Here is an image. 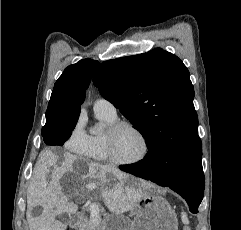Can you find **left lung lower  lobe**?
<instances>
[{"label":"left lung lower lobe","instance_id":"left-lung-lower-lobe-1","mask_svg":"<svg viewBox=\"0 0 241 230\" xmlns=\"http://www.w3.org/2000/svg\"><path fill=\"white\" fill-rule=\"evenodd\" d=\"M170 166L169 156L162 146L156 145L148 149L143 160L132 165H121L119 168L160 186H168L187 201L192 213H197L204 195L202 159L191 161L175 180L170 176Z\"/></svg>","mask_w":241,"mask_h":230}]
</instances>
